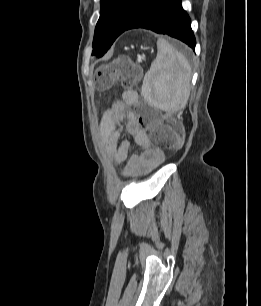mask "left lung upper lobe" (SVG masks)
<instances>
[{"instance_id": "1", "label": "left lung upper lobe", "mask_w": 261, "mask_h": 306, "mask_svg": "<svg viewBox=\"0 0 261 306\" xmlns=\"http://www.w3.org/2000/svg\"><path fill=\"white\" fill-rule=\"evenodd\" d=\"M145 0H101L100 18L97 22L92 55L101 57L116 38L124 32Z\"/></svg>"}]
</instances>
